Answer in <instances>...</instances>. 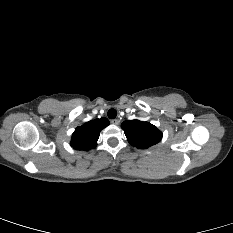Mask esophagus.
Returning a JSON list of instances; mask_svg holds the SVG:
<instances>
[{
    "label": "esophagus",
    "instance_id": "esophagus-1",
    "mask_svg": "<svg viewBox=\"0 0 233 233\" xmlns=\"http://www.w3.org/2000/svg\"><path fill=\"white\" fill-rule=\"evenodd\" d=\"M111 123L114 124V125H119L120 120L119 119H113V120H111Z\"/></svg>",
    "mask_w": 233,
    "mask_h": 233
}]
</instances>
